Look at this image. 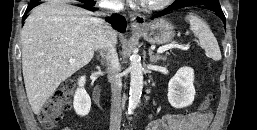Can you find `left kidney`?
Masks as SVG:
<instances>
[{
    "label": "left kidney",
    "instance_id": "obj_1",
    "mask_svg": "<svg viewBox=\"0 0 257 130\" xmlns=\"http://www.w3.org/2000/svg\"><path fill=\"white\" fill-rule=\"evenodd\" d=\"M194 71L190 67L180 68L168 84V101L174 108L190 106L195 97Z\"/></svg>",
    "mask_w": 257,
    "mask_h": 130
}]
</instances>
